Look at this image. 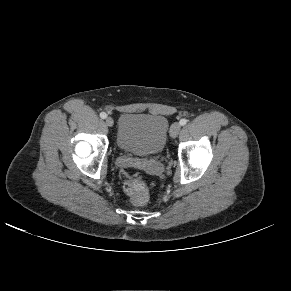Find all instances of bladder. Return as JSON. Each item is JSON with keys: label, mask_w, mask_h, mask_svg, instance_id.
Returning a JSON list of instances; mask_svg holds the SVG:
<instances>
[{"label": "bladder", "mask_w": 291, "mask_h": 291, "mask_svg": "<svg viewBox=\"0 0 291 291\" xmlns=\"http://www.w3.org/2000/svg\"><path fill=\"white\" fill-rule=\"evenodd\" d=\"M168 132L169 122L163 115L125 113L119 119L116 144L133 155L153 156L164 149Z\"/></svg>", "instance_id": "31cf9c89"}]
</instances>
